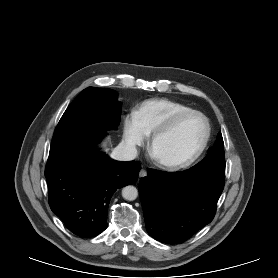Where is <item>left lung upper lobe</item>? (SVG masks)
Instances as JSON below:
<instances>
[{
    "label": "left lung upper lobe",
    "mask_w": 278,
    "mask_h": 278,
    "mask_svg": "<svg viewBox=\"0 0 278 278\" xmlns=\"http://www.w3.org/2000/svg\"><path fill=\"white\" fill-rule=\"evenodd\" d=\"M190 169L225 176L224 142L221 132L218 133L213 147L208 149L206 157Z\"/></svg>",
    "instance_id": "obj_1"
}]
</instances>
